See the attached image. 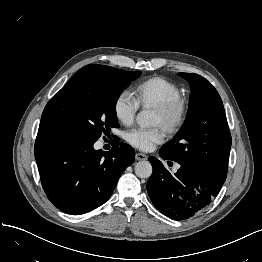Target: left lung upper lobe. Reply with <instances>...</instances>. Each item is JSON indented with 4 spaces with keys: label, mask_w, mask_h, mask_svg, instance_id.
Here are the masks:
<instances>
[{
    "label": "left lung upper lobe",
    "mask_w": 262,
    "mask_h": 262,
    "mask_svg": "<svg viewBox=\"0 0 262 262\" xmlns=\"http://www.w3.org/2000/svg\"><path fill=\"white\" fill-rule=\"evenodd\" d=\"M189 81L191 95L185 123L160 149L169 159L208 179L227 173L231 134L217 90L202 76L179 73Z\"/></svg>",
    "instance_id": "1"
}]
</instances>
